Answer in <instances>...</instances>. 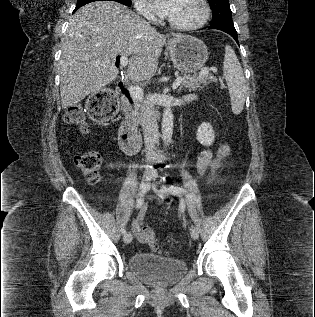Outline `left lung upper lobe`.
<instances>
[{"label": "left lung upper lobe", "instance_id": "1", "mask_svg": "<svg viewBox=\"0 0 315 317\" xmlns=\"http://www.w3.org/2000/svg\"><path fill=\"white\" fill-rule=\"evenodd\" d=\"M212 9V22L214 27H234L232 12L228 0H208Z\"/></svg>", "mask_w": 315, "mask_h": 317}]
</instances>
